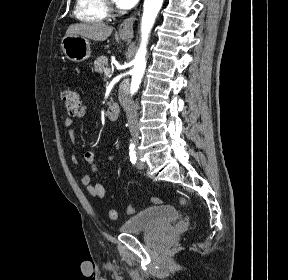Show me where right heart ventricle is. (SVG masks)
Returning a JSON list of instances; mask_svg holds the SVG:
<instances>
[{
    "mask_svg": "<svg viewBox=\"0 0 288 280\" xmlns=\"http://www.w3.org/2000/svg\"><path fill=\"white\" fill-rule=\"evenodd\" d=\"M74 14L84 22H101L108 15L105 0H76Z\"/></svg>",
    "mask_w": 288,
    "mask_h": 280,
    "instance_id": "right-heart-ventricle-1",
    "label": "right heart ventricle"
}]
</instances>
